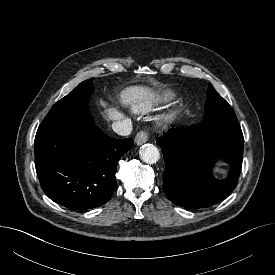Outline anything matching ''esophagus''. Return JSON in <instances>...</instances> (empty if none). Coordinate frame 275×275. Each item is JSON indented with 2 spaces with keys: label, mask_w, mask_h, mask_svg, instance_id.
I'll return each mask as SVG.
<instances>
[{
  "label": "esophagus",
  "mask_w": 275,
  "mask_h": 275,
  "mask_svg": "<svg viewBox=\"0 0 275 275\" xmlns=\"http://www.w3.org/2000/svg\"><path fill=\"white\" fill-rule=\"evenodd\" d=\"M147 140H148V135L145 131H140L135 136V143L137 145H142V144L146 143Z\"/></svg>",
  "instance_id": "34e87169"
}]
</instances>
